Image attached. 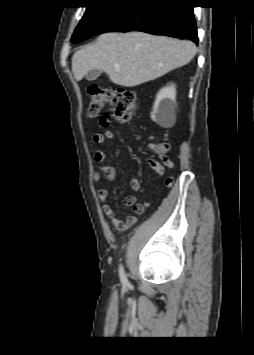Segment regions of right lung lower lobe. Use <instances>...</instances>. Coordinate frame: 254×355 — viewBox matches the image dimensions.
<instances>
[{"label": "right lung lower lobe", "instance_id": "98d812e1", "mask_svg": "<svg viewBox=\"0 0 254 355\" xmlns=\"http://www.w3.org/2000/svg\"><path fill=\"white\" fill-rule=\"evenodd\" d=\"M192 4L189 0H132L122 3L94 35L110 31H141L187 38L197 43ZM71 41L76 43L82 40Z\"/></svg>", "mask_w": 254, "mask_h": 355}]
</instances>
